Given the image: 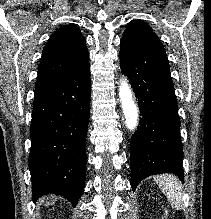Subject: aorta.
Segmentation results:
<instances>
[{"label": "aorta", "instance_id": "aorta-1", "mask_svg": "<svg viewBox=\"0 0 211 219\" xmlns=\"http://www.w3.org/2000/svg\"><path fill=\"white\" fill-rule=\"evenodd\" d=\"M119 97L126 126L129 130L133 131L138 125V108L133 100L132 90L126 78L120 80Z\"/></svg>", "mask_w": 211, "mask_h": 219}]
</instances>
